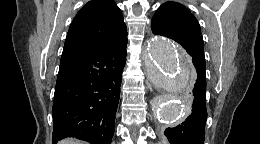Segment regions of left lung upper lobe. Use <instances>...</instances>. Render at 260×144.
I'll return each instance as SVG.
<instances>
[{
    "instance_id": "obj_1",
    "label": "left lung upper lobe",
    "mask_w": 260,
    "mask_h": 144,
    "mask_svg": "<svg viewBox=\"0 0 260 144\" xmlns=\"http://www.w3.org/2000/svg\"><path fill=\"white\" fill-rule=\"evenodd\" d=\"M154 34L173 39L184 49L192 48L204 55L203 38L197 19L184 5L168 1L162 4L151 21ZM198 72L205 73V57L194 63Z\"/></svg>"
}]
</instances>
